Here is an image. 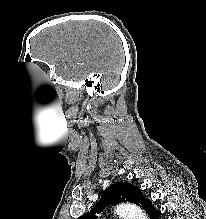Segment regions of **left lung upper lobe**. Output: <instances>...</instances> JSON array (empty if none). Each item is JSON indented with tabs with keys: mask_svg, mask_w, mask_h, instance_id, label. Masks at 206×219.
Listing matches in <instances>:
<instances>
[{
	"mask_svg": "<svg viewBox=\"0 0 206 219\" xmlns=\"http://www.w3.org/2000/svg\"><path fill=\"white\" fill-rule=\"evenodd\" d=\"M135 203L144 208L147 212L151 207V201L145 198L141 189L130 183L113 184L101 195V198L96 206L86 214H83L78 219H97L96 213L102 212L107 205H116L120 202Z\"/></svg>",
	"mask_w": 206,
	"mask_h": 219,
	"instance_id": "obj_1",
	"label": "left lung upper lobe"
}]
</instances>
